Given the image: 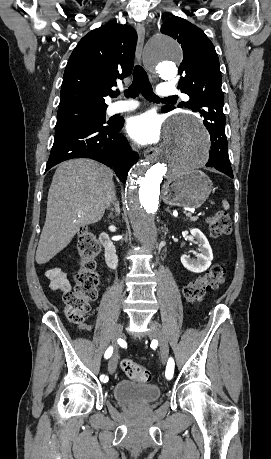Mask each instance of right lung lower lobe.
<instances>
[{"label":"right lung lower lobe","instance_id":"98d812e1","mask_svg":"<svg viewBox=\"0 0 271 459\" xmlns=\"http://www.w3.org/2000/svg\"><path fill=\"white\" fill-rule=\"evenodd\" d=\"M122 127V120H114L111 125H80L56 132L45 172L68 159L90 158L114 167L116 175L125 183L138 155L119 134Z\"/></svg>","mask_w":271,"mask_h":459}]
</instances>
